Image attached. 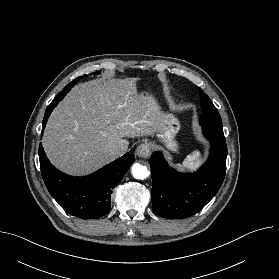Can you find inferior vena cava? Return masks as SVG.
<instances>
[{
  "label": "inferior vena cava",
  "mask_w": 279,
  "mask_h": 279,
  "mask_svg": "<svg viewBox=\"0 0 279 279\" xmlns=\"http://www.w3.org/2000/svg\"><path fill=\"white\" fill-rule=\"evenodd\" d=\"M126 152L125 149L121 148V147H114L113 149H111L109 151L110 155L113 157H118L123 155Z\"/></svg>",
  "instance_id": "1"
}]
</instances>
